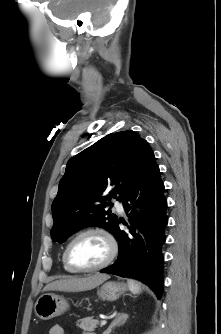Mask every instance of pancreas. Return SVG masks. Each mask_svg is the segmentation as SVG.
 <instances>
[{"mask_svg":"<svg viewBox=\"0 0 221 334\" xmlns=\"http://www.w3.org/2000/svg\"><path fill=\"white\" fill-rule=\"evenodd\" d=\"M99 324L98 319H94L93 317H85L77 321L76 325L84 331L92 332L97 328ZM94 334V333H87Z\"/></svg>","mask_w":221,"mask_h":334,"instance_id":"pancreas-1","label":"pancreas"}]
</instances>
